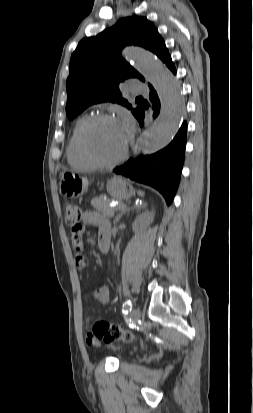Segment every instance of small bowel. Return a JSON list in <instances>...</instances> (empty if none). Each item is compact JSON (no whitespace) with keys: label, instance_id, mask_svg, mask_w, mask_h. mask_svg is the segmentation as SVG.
<instances>
[{"label":"small bowel","instance_id":"c3829d8e","mask_svg":"<svg viewBox=\"0 0 253 413\" xmlns=\"http://www.w3.org/2000/svg\"><path fill=\"white\" fill-rule=\"evenodd\" d=\"M82 222L84 225H95L99 228V235L102 233H110V223L108 218L97 211H85L82 214ZM83 231V226L79 225L77 228L73 229L72 244L74 249L77 251L75 256V263L79 268H84L86 266V261L84 256L81 254L83 247L81 233ZM89 295L95 298L98 302L102 304H107L110 300L109 289L106 286H99L94 288ZM86 342L89 346L95 347L100 343L98 340L89 336L87 333Z\"/></svg>","mask_w":253,"mask_h":413}]
</instances>
